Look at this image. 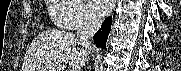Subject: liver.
I'll list each match as a JSON object with an SVG mask.
<instances>
[{
	"instance_id": "obj_1",
	"label": "liver",
	"mask_w": 181,
	"mask_h": 71,
	"mask_svg": "<svg viewBox=\"0 0 181 71\" xmlns=\"http://www.w3.org/2000/svg\"><path fill=\"white\" fill-rule=\"evenodd\" d=\"M70 32L46 31L39 34L26 52L22 71H80L89 58V52L80 47Z\"/></svg>"
}]
</instances>
